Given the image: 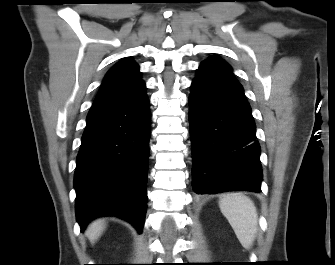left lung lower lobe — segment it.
Returning a JSON list of instances; mask_svg holds the SVG:
<instances>
[{
	"mask_svg": "<svg viewBox=\"0 0 335 265\" xmlns=\"http://www.w3.org/2000/svg\"><path fill=\"white\" fill-rule=\"evenodd\" d=\"M189 106L194 192H261L255 123L232 71L200 65Z\"/></svg>",
	"mask_w": 335,
	"mask_h": 265,
	"instance_id": "obj_1",
	"label": "left lung lower lobe"
}]
</instances>
